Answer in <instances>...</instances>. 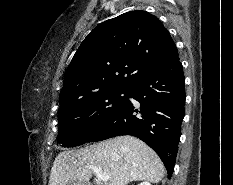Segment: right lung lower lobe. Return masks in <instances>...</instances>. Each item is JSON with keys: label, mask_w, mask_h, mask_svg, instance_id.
Here are the masks:
<instances>
[{"label": "right lung lower lobe", "mask_w": 233, "mask_h": 185, "mask_svg": "<svg viewBox=\"0 0 233 185\" xmlns=\"http://www.w3.org/2000/svg\"><path fill=\"white\" fill-rule=\"evenodd\" d=\"M184 83L179 58L143 75L127 89L125 102L86 142L134 135L156 151L170 178L184 117ZM129 98L137 103H131Z\"/></svg>", "instance_id": "1"}]
</instances>
